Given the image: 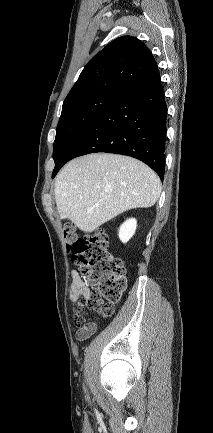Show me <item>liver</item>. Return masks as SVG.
<instances>
[{"label": "liver", "instance_id": "1", "mask_svg": "<svg viewBox=\"0 0 213 433\" xmlns=\"http://www.w3.org/2000/svg\"><path fill=\"white\" fill-rule=\"evenodd\" d=\"M161 181L147 165L132 157L95 153L67 163L55 180L61 218L81 231L93 232L105 222L158 200Z\"/></svg>", "mask_w": 213, "mask_h": 433}]
</instances>
